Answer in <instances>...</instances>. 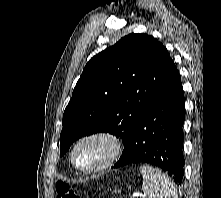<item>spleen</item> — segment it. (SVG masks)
<instances>
[{
    "mask_svg": "<svg viewBox=\"0 0 221 198\" xmlns=\"http://www.w3.org/2000/svg\"><path fill=\"white\" fill-rule=\"evenodd\" d=\"M140 172L146 198H178L175 184L166 173L148 165L140 166Z\"/></svg>",
    "mask_w": 221,
    "mask_h": 198,
    "instance_id": "obj_1",
    "label": "spleen"
}]
</instances>
